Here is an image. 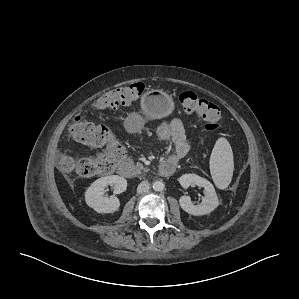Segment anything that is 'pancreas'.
<instances>
[{
    "instance_id": "1",
    "label": "pancreas",
    "mask_w": 299,
    "mask_h": 299,
    "mask_svg": "<svg viewBox=\"0 0 299 299\" xmlns=\"http://www.w3.org/2000/svg\"><path fill=\"white\" fill-rule=\"evenodd\" d=\"M136 168H137V173H140L141 170H144L145 172L148 171V169L147 168H143V165L140 164V163H137Z\"/></svg>"
}]
</instances>
